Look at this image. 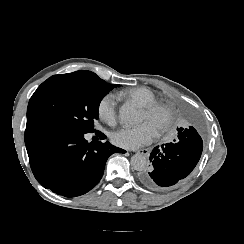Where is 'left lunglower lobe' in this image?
<instances>
[{"instance_id":"left-lung-lower-lobe-1","label":"left lung lower lobe","mask_w":244,"mask_h":244,"mask_svg":"<svg viewBox=\"0 0 244 244\" xmlns=\"http://www.w3.org/2000/svg\"><path fill=\"white\" fill-rule=\"evenodd\" d=\"M178 138L173 143L156 146L150 154L153 167L142 171L138 179L153 190H170L187 177L198 163L203 141L199 121L188 116L184 127L177 128Z\"/></svg>"}]
</instances>
